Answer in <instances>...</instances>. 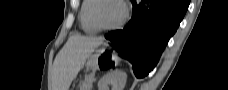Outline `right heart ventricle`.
Here are the masks:
<instances>
[{
  "label": "right heart ventricle",
  "instance_id": "right-heart-ventricle-1",
  "mask_svg": "<svg viewBox=\"0 0 228 90\" xmlns=\"http://www.w3.org/2000/svg\"><path fill=\"white\" fill-rule=\"evenodd\" d=\"M96 0H84L82 1L80 11H79V20L81 27L84 32L87 34H95L99 29L94 25L91 19V10L95 5Z\"/></svg>",
  "mask_w": 228,
  "mask_h": 90
}]
</instances>
